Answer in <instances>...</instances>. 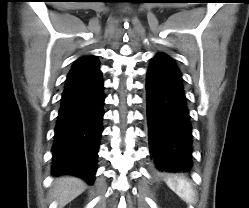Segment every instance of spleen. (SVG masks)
<instances>
[{
	"mask_svg": "<svg viewBox=\"0 0 249 208\" xmlns=\"http://www.w3.org/2000/svg\"><path fill=\"white\" fill-rule=\"evenodd\" d=\"M167 185L187 203L193 202L194 192L191 183L184 178H168Z\"/></svg>",
	"mask_w": 249,
	"mask_h": 208,
	"instance_id": "1",
	"label": "spleen"
}]
</instances>
